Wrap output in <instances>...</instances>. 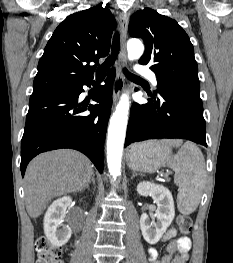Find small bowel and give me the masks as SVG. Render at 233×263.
Segmentation results:
<instances>
[{"instance_id": "obj_1", "label": "small bowel", "mask_w": 233, "mask_h": 263, "mask_svg": "<svg viewBox=\"0 0 233 263\" xmlns=\"http://www.w3.org/2000/svg\"><path fill=\"white\" fill-rule=\"evenodd\" d=\"M177 231L170 228L163 235L161 241L168 242L166 251L167 254L161 259L158 258V251L154 247L147 249L149 263H187L189 252L192 248L191 239L187 236L176 238Z\"/></svg>"}]
</instances>
